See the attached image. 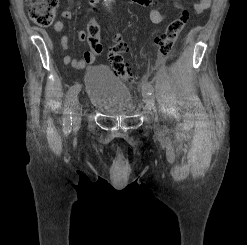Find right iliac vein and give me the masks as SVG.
Masks as SVG:
<instances>
[{
	"label": "right iliac vein",
	"instance_id": "1",
	"mask_svg": "<svg viewBox=\"0 0 247 245\" xmlns=\"http://www.w3.org/2000/svg\"><path fill=\"white\" fill-rule=\"evenodd\" d=\"M72 113H73V125L74 127H78L81 123V116H80L79 100L77 97L73 104Z\"/></svg>",
	"mask_w": 247,
	"mask_h": 245
}]
</instances>
